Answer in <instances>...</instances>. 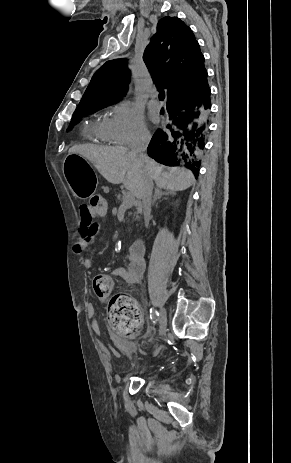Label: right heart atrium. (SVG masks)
Returning <instances> with one entry per match:
<instances>
[{
	"instance_id": "1",
	"label": "right heart atrium",
	"mask_w": 291,
	"mask_h": 463,
	"mask_svg": "<svg viewBox=\"0 0 291 463\" xmlns=\"http://www.w3.org/2000/svg\"><path fill=\"white\" fill-rule=\"evenodd\" d=\"M108 133L118 145H135L148 141L150 135L141 113L129 102L113 107Z\"/></svg>"
}]
</instances>
